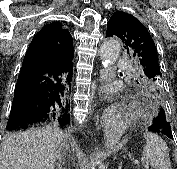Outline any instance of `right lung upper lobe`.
I'll use <instances>...</instances> for the list:
<instances>
[{
  "mask_svg": "<svg viewBox=\"0 0 177 169\" xmlns=\"http://www.w3.org/2000/svg\"><path fill=\"white\" fill-rule=\"evenodd\" d=\"M73 39L68 30L58 22L45 25L33 38L25 59H34L50 64L72 63Z\"/></svg>",
  "mask_w": 177,
  "mask_h": 169,
  "instance_id": "cb5924a9",
  "label": "right lung upper lobe"
}]
</instances>
